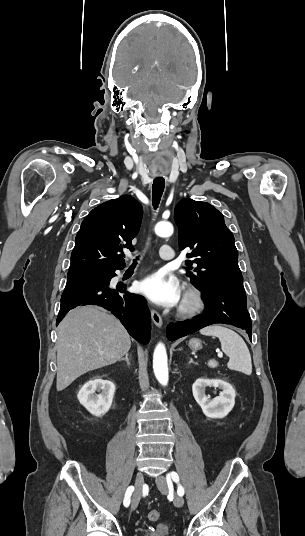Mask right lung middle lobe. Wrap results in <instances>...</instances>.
Instances as JSON below:
<instances>
[{
	"label": "right lung middle lobe",
	"mask_w": 305,
	"mask_h": 536,
	"mask_svg": "<svg viewBox=\"0 0 305 536\" xmlns=\"http://www.w3.org/2000/svg\"><path fill=\"white\" fill-rule=\"evenodd\" d=\"M114 275H115V271L100 272V273H95V274H90V275H85V276L68 278L67 282L95 281V282L106 283V282H109Z\"/></svg>",
	"instance_id": "obj_1"
}]
</instances>
